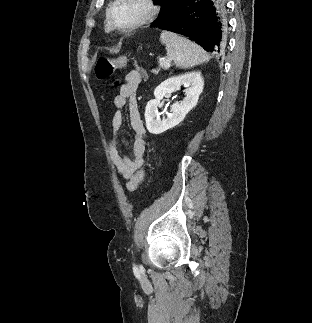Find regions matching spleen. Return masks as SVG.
Here are the masks:
<instances>
[{"instance_id":"3e777b00","label":"spleen","mask_w":312,"mask_h":323,"mask_svg":"<svg viewBox=\"0 0 312 323\" xmlns=\"http://www.w3.org/2000/svg\"><path fill=\"white\" fill-rule=\"evenodd\" d=\"M160 42L166 44L167 58L175 62L178 68H193L210 60L209 54L204 52L201 46L190 42L187 38H181L180 34L162 30Z\"/></svg>"}]
</instances>
